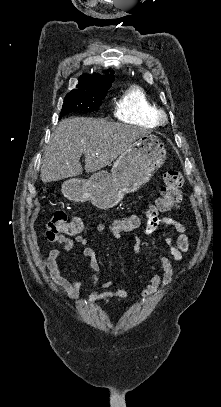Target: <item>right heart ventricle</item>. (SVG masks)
Listing matches in <instances>:
<instances>
[{"mask_svg":"<svg viewBox=\"0 0 221 407\" xmlns=\"http://www.w3.org/2000/svg\"><path fill=\"white\" fill-rule=\"evenodd\" d=\"M158 105L140 85H132L127 88L115 101L114 116L128 123L141 125H156Z\"/></svg>","mask_w":221,"mask_h":407,"instance_id":"right-heart-ventricle-1","label":"right heart ventricle"}]
</instances>
